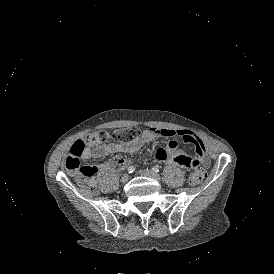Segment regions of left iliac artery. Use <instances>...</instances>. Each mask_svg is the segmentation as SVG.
Returning a JSON list of instances; mask_svg holds the SVG:
<instances>
[{"mask_svg": "<svg viewBox=\"0 0 274 274\" xmlns=\"http://www.w3.org/2000/svg\"><path fill=\"white\" fill-rule=\"evenodd\" d=\"M152 171L153 172H159L160 170H159V168L157 166H154V167H152Z\"/></svg>", "mask_w": 274, "mask_h": 274, "instance_id": "left-iliac-artery-1", "label": "left iliac artery"}]
</instances>
